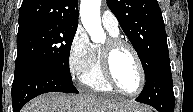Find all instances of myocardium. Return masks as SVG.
I'll return each mask as SVG.
<instances>
[{
    "label": "myocardium",
    "instance_id": "1",
    "mask_svg": "<svg viewBox=\"0 0 193 112\" xmlns=\"http://www.w3.org/2000/svg\"><path fill=\"white\" fill-rule=\"evenodd\" d=\"M120 48H128L132 52L136 60V63L139 69V74H140V84L138 89L135 92H127L123 90L114 77V74L112 71V57H113V54ZM100 63H101L102 74L106 82L116 92L125 96L135 97V96H138L143 91L146 83L145 70H144V66L139 53L131 43L119 37L109 38L107 42L100 47Z\"/></svg>",
    "mask_w": 193,
    "mask_h": 112
}]
</instances>
